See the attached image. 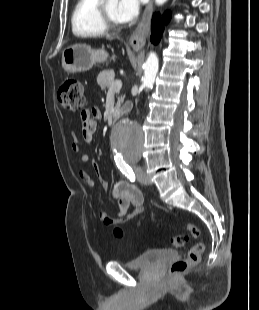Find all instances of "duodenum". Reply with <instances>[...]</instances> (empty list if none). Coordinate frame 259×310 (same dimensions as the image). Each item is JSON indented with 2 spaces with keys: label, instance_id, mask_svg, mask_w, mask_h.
Here are the masks:
<instances>
[{
  "label": "duodenum",
  "instance_id": "duodenum-1",
  "mask_svg": "<svg viewBox=\"0 0 259 310\" xmlns=\"http://www.w3.org/2000/svg\"><path fill=\"white\" fill-rule=\"evenodd\" d=\"M120 116H121V112L118 110H115L113 112V123H115L119 119Z\"/></svg>",
  "mask_w": 259,
  "mask_h": 310
}]
</instances>
